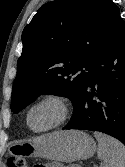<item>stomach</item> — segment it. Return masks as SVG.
<instances>
[{"mask_svg": "<svg viewBox=\"0 0 125 167\" xmlns=\"http://www.w3.org/2000/svg\"><path fill=\"white\" fill-rule=\"evenodd\" d=\"M96 149V142L87 133L69 130L56 131L20 142L12 147V152L20 156L71 163L90 158Z\"/></svg>", "mask_w": 125, "mask_h": 167, "instance_id": "0dacf381", "label": "stomach"}]
</instances>
